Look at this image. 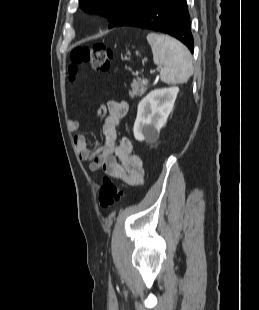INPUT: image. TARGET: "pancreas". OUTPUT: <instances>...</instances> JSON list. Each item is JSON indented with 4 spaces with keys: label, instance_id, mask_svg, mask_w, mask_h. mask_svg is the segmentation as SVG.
I'll list each match as a JSON object with an SVG mask.
<instances>
[{
    "label": "pancreas",
    "instance_id": "obj_1",
    "mask_svg": "<svg viewBox=\"0 0 259 310\" xmlns=\"http://www.w3.org/2000/svg\"><path fill=\"white\" fill-rule=\"evenodd\" d=\"M148 83L147 80H142V79H134L131 87H132V91L129 92V95L131 98L137 97V96H142L146 90V84Z\"/></svg>",
    "mask_w": 259,
    "mask_h": 310
}]
</instances>
